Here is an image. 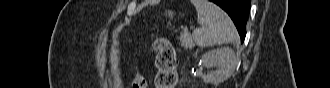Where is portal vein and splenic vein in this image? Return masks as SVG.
<instances>
[{
    "mask_svg": "<svg viewBox=\"0 0 330 88\" xmlns=\"http://www.w3.org/2000/svg\"><path fill=\"white\" fill-rule=\"evenodd\" d=\"M184 32L188 33V28L187 27L184 28Z\"/></svg>",
    "mask_w": 330,
    "mask_h": 88,
    "instance_id": "portal-vein-and-splenic-vein-1",
    "label": "portal vein and splenic vein"
}]
</instances>
